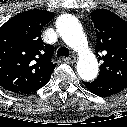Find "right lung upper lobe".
Instances as JSON below:
<instances>
[{
    "mask_svg": "<svg viewBox=\"0 0 127 127\" xmlns=\"http://www.w3.org/2000/svg\"><path fill=\"white\" fill-rule=\"evenodd\" d=\"M53 13L29 10L17 14L0 27V86L20 90L42 86L53 73V47L41 38V29Z\"/></svg>",
    "mask_w": 127,
    "mask_h": 127,
    "instance_id": "right-lung-upper-lobe-1",
    "label": "right lung upper lobe"
}]
</instances>
